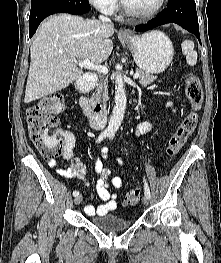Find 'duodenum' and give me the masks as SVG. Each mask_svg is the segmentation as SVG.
Masks as SVG:
<instances>
[{
  "mask_svg": "<svg viewBox=\"0 0 221 263\" xmlns=\"http://www.w3.org/2000/svg\"><path fill=\"white\" fill-rule=\"evenodd\" d=\"M97 76L94 73H85L78 82V88L82 92L92 90L96 84ZM79 105L84 114L90 119L94 129H102L106 123V115L99 104H95L90 98L82 95L79 99Z\"/></svg>",
  "mask_w": 221,
  "mask_h": 263,
  "instance_id": "obj_1",
  "label": "duodenum"
}]
</instances>
